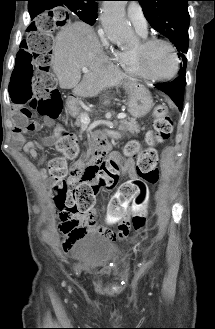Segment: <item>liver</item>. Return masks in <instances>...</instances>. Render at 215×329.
I'll use <instances>...</instances> for the list:
<instances>
[{
	"mask_svg": "<svg viewBox=\"0 0 215 329\" xmlns=\"http://www.w3.org/2000/svg\"><path fill=\"white\" fill-rule=\"evenodd\" d=\"M82 67H87L89 72L80 82ZM52 68L60 88L73 89L78 97H94L106 88L121 84L124 79L136 83L108 61L93 29L81 21L57 33Z\"/></svg>",
	"mask_w": 215,
	"mask_h": 329,
	"instance_id": "1",
	"label": "liver"
}]
</instances>
